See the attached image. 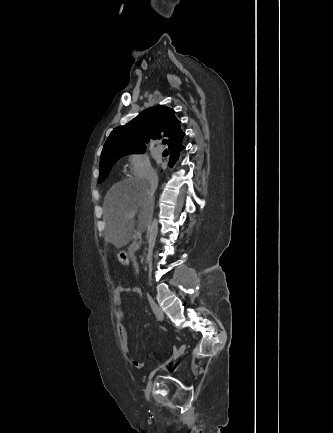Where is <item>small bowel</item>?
Segmentation results:
<instances>
[{"label":"small bowel","mask_w":333,"mask_h":433,"mask_svg":"<svg viewBox=\"0 0 333 433\" xmlns=\"http://www.w3.org/2000/svg\"><path fill=\"white\" fill-rule=\"evenodd\" d=\"M136 296L141 297L142 292L138 287H125L118 286L115 289V302L117 305H121L125 298ZM118 324L117 330L119 335V342L123 352L128 356V358L136 365H139L138 360L136 359L135 354L129 348V337L128 332L125 325V314L122 310L118 311Z\"/></svg>","instance_id":"c3829d8e"}]
</instances>
